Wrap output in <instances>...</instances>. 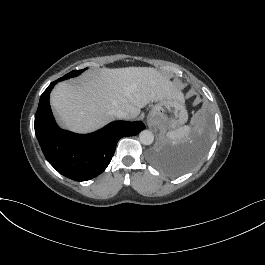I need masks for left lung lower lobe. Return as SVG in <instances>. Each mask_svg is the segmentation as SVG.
<instances>
[{"mask_svg": "<svg viewBox=\"0 0 265 265\" xmlns=\"http://www.w3.org/2000/svg\"><path fill=\"white\" fill-rule=\"evenodd\" d=\"M210 141L209 124L201 125L189 141L181 144H165L149 153L151 163L171 175H181L194 168L204 157Z\"/></svg>", "mask_w": 265, "mask_h": 265, "instance_id": "obj_1", "label": "left lung lower lobe"}]
</instances>
